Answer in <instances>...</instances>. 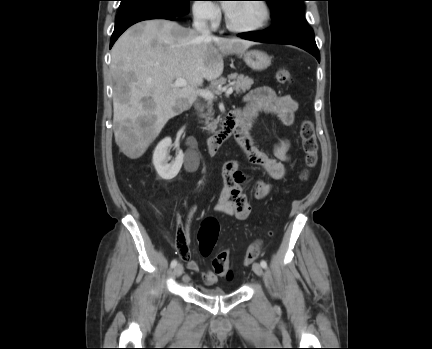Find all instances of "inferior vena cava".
I'll list each match as a JSON object with an SVG mask.
<instances>
[{"mask_svg":"<svg viewBox=\"0 0 432 349\" xmlns=\"http://www.w3.org/2000/svg\"><path fill=\"white\" fill-rule=\"evenodd\" d=\"M193 27L204 37H211V32L207 26V16L204 11H195L193 19Z\"/></svg>","mask_w":432,"mask_h":349,"instance_id":"1","label":"inferior vena cava"}]
</instances>
